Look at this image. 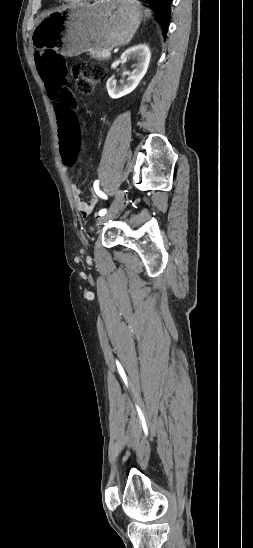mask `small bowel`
Wrapping results in <instances>:
<instances>
[{
  "instance_id": "obj_1",
  "label": "small bowel",
  "mask_w": 253,
  "mask_h": 548,
  "mask_svg": "<svg viewBox=\"0 0 253 548\" xmlns=\"http://www.w3.org/2000/svg\"><path fill=\"white\" fill-rule=\"evenodd\" d=\"M60 60H63V59L61 58ZM59 129H61V128H59ZM77 147H78V138H77ZM71 192H72V195H73L75 206H76L77 210L79 211V213L84 218L88 217L91 214V212L93 211V209L95 208V206L97 205V202H98L97 199L92 198L89 202H86L81 197L80 188L76 184H71Z\"/></svg>"
}]
</instances>
